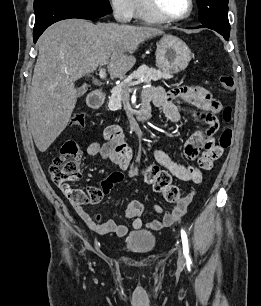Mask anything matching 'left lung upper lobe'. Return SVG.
<instances>
[{
    "instance_id": "obj_1",
    "label": "left lung upper lobe",
    "mask_w": 261,
    "mask_h": 306,
    "mask_svg": "<svg viewBox=\"0 0 261 306\" xmlns=\"http://www.w3.org/2000/svg\"><path fill=\"white\" fill-rule=\"evenodd\" d=\"M199 7V21L205 27L229 31L228 0H196Z\"/></svg>"
}]
</instances>
